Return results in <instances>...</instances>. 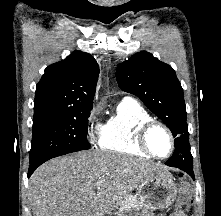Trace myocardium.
<instances>
[{
	"mask_svg": "<svg viewBox=\"0 0 221 216\" xmlns=\"http://www.w3.org/2000/svg\"><path fill=\"white\" fill-rule=\"evenodd\" d=\"M154 128H161L162 130L165 131V133L169 137L171 148H170V151L167 155H164V156L157 155L150 148V146L148 144L149 134ZM136 143L141 151H143L145 154L152 156L156 159H166V158L170 157L175 151V138H174L172 131L165 123H163L159 120H155V119L147 121L139 126V128L137 129V132H136Z\"/></svg>",
	"mask_w": 221,
	"mask_h": 216,
	"instance_id": "obj_1",
	"label": "myocardium"
}]
</instances>
